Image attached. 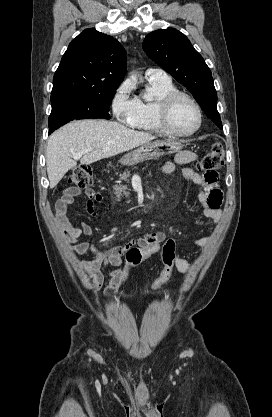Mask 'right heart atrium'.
Masks as SVG:
<instances>
[{"label":"right heart atrium","mask_w":272,"mask_h":417,"mask_svg":"<svg viewBox=\"0 0 272 417\" xmlns=\"http://www.w3.org/2000/svg\"><path fill=\"white\" fill-rule=\"evenodd\" d=\"M130 82H122L116 89L112 100L111 109L114 117L123 123L129 124L136 113V99L132 97Z\"/></svg>","instance_id":"obj_1"}]
</instances>
